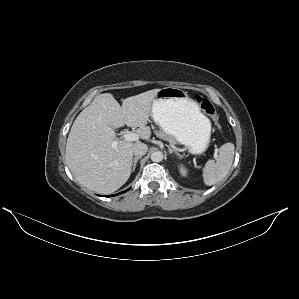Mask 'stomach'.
Segmentation results:
<instances>
[{"label": "stomach", "mask_w": 299, "mask_h": 299, "mask_svg": "<svg viewBox=\"0 0 299 299\" xmlns=\"http://www.w3.org/2000/svg\"><path fill=\"white\" fill-rule=\"evenodd\" d=\"M152 119L161 130L193 154L203 152L210 141L211 122L198 104L178 87L160 89L152 103Z\"/></svg>", "instance_id": "stomach-1"}]
</instances>
